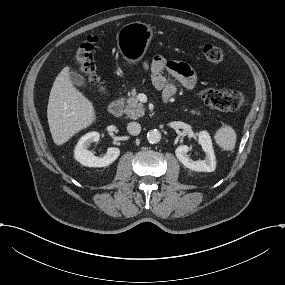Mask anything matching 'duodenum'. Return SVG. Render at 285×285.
Segmentation results:
<instances>
[{
	"mask_svg": "<svg viewBox=\"0 0 285 285\" xmlns=\"http://www.w3.org/2000/svg\"><path fill=\"white\" fill-rule=\"evenodd\" d=\"M166 99L170 98L169 96L164 97ZM123 112V102L120 98L113 101L109 106V113L113 117H120Z\"/></svg>",
	"mask_w": 285,
	"mask_h": 285,
	"instance_id": "duodenum-1",
	"label": "duodenum"
}]
</instances>
